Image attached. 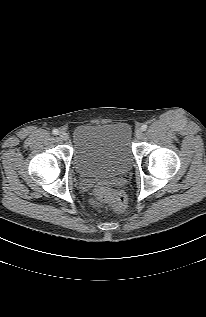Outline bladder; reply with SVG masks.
<instances>
[{"label": "bladder", "instance_id": "31cf9c89", "mask_svg": "<svg viewBox=\"0 0 206 317\" xmlns=\"http://www.w3.org/2000/svg\"><path fill=\"white\" fill-rule=\"evenodd\" d=\"M72 161L78 175L86 179L127 173L133 162L131 128L126 123L77 126Z\"/></svg>", "mask_w": 206, "mask_h": 317}]
</instances>
